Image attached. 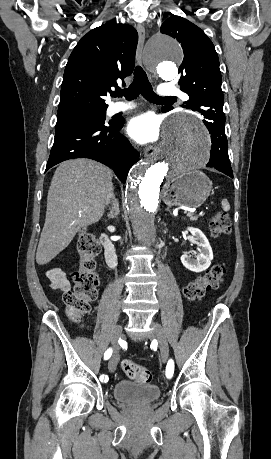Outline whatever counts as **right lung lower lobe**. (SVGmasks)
<instances>
[{"label":"right lung lower lobe","instance_id":"98d812e1","mask_svg":"<svg viewBox=\"0 0 271 459\" xmlns=\"http://www.w3.org/2000/svg\"><path fill=\"white\" fill-rule=\"evenodd\" d=\"M123 124L124 121L112 120L111 124H80L57 131L45 172L68 159L90 158L113 167L117 177L125 183L139 154L119 133Z\"/></svg>","mask_w":271,"mask_h":459}]
</instances>
